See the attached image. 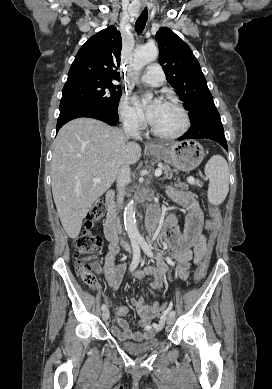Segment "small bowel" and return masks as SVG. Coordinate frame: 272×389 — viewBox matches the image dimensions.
Segmentation results:
<instances>
[{
    "label": "small bowel",
    "mask_w": 272,
    "mask_h": 389,
    "mask_svg": "<svg viewBox=\"0 0 272 389\" xmlns=\"http://www.w3.org/2000/svg\"><path fill=\"white\" fill-rule=\"evenodd\" d=\"M169 194L175 202L185 209V224L183 231H180L176 217L171 216L167 219L162 232V238L168 250V257L177 262L175 270L171 272L166 262L159 255L155 265L135 275L138 278L145 275L152 276L151 288L153 290L163 289L166 281L174 279L187 280L189 278L191 261L199 264L206 252V238L203 230L212 227L211 221L204 222L203 213L191 193L170 189ZM118 251V246L111 243L104 269L97 262L93 264V270L104 273L109 286L113 290L119 287L126 270L124 263H115ZM99 287V283H96L93 290H97ZM130 303L140 317L139 323L142 331H132L129 323L117 316L115 319L116 325L111 327V333L119 340L142 341L152 338L155 331L161 327V325L152 323L159 309V303L147 304L142 298H131ZM115 311L117 314L123 315L127 312V308L125 306L115 307Z\"/></svg>",
    "instance_id": "small-bowel-1"
}]
</instances>
